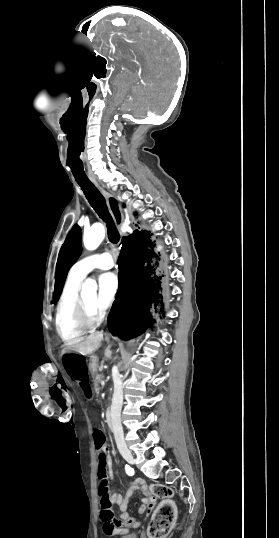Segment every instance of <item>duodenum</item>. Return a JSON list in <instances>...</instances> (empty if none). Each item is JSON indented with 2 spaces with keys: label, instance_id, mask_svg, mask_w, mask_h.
<instances>
[{
  "label": "duodenum",
  "instance_id": "duodenum-1",
  "mask_svg": "<svg viewBox=\"0 0 279 538\" xmlns=\"http://www.w3.org/2000/svg\"><path fill=\"white\" fill-rule=\"evenodd\" d=\"M99 366L97 364H94L92 366L91 372L93 374H96L98 372ZM112 410L110 408H107L105 410L104 417L106 418V422L108 423V428H113V419L111 418Z\"/></svg>",
  "mask_w": 279,
  "mask_h": 538
}]
</instances>
